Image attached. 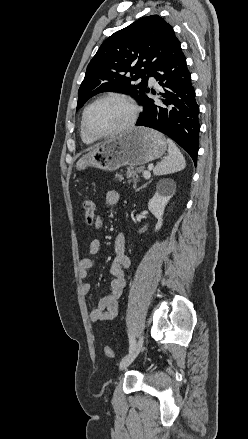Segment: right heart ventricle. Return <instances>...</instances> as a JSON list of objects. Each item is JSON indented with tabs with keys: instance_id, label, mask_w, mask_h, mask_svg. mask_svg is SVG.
<instances>
[{
	"instance_id": "right-heart-ventricle-1",
	"label": "right heart ventricle",
	"mask_w": 248,
	"mask_h": 439,
	"mask_svg": "<svg viewBox=\"0 0 248 439\" xmlns=\"http://www.w3.org/2000/svg\"><path fill=\"white\" fill-rule=\"evenodd\" d=\"M80 133H81V139H82V141H83L84 143H86V144H92V143H94V142L96 141V139L91 138L90 136H88V135L84 132V130H83V128H82V125H81Z\"/></svg>"
}]
</instances>
